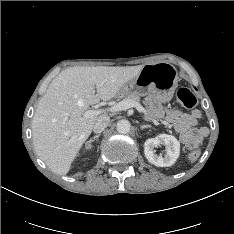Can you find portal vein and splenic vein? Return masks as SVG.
Returning <instances> with one entry per match:
<instances>
[{
	"label": "portal vein and splenic vein",
	"mask_w": 234,
	"mask_h": 234,
	"mask_svg": "<svg viewBox=\"0 0 234 234\" xmlns=\"http://www.w3.org/2000/svg\"><path fill=\"white\" fill-rule=\"evenodd\" d=\"M135 107L138 112L140 113H144L145 109L143 108V106H141L140 103L135 102V101H131V100H122L118 103H116L115 105L106 108V109H95V110H87L84 113L85 117H92V116H97L99 114L105 113L107 112H117V111H122V110H127L129 108Z\"/></svg>",
	"instance_id": "1"
}]
</instances>
